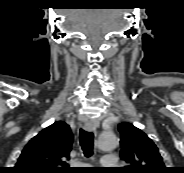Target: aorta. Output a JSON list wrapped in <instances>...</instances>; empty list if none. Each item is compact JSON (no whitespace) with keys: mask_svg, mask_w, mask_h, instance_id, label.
I'll return each instance as SVG.
<instances>
[{"mask_svg":"<svg viewBox=\"0 0 184 173\" xmlns=\"http://www.w3.org/2000/svg\"><path fill=\"white\" fill-rule=\"evenodd\" d=\"M118 145L117 136L113 132L102 133L97 142V146L102 151H112Z\"/></svg>","mask_w":184,"mask_h":173,"instance_id":"762f6f07","label":"aorta"}]
</instances>
